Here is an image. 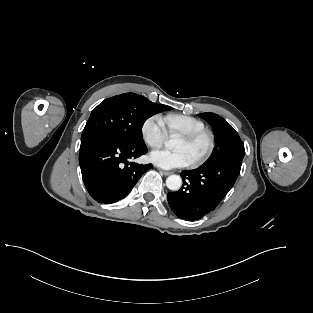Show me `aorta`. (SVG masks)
Returning a JSON list of instances; mask_svg holds the SVG:
<instances>
[{"mask_svg":"<svg viewBox=\"0 0 313 313\" xmlns=\"http://www.w3.org/2000/svg\"><path fill=\"white\" fill-rule=\"evenodd\" d=\"M174 139H170L167 143L166 146L168 148H172L174 146ZM182 185V179L179 175H170L169 177H167L166 179V186L168 189L172 190V191H177L180 189Z\"/></svg>","mask_w":313,"mask_h":313,"instance_id":"aorta-1","label":"aorta"}]
</instances>
